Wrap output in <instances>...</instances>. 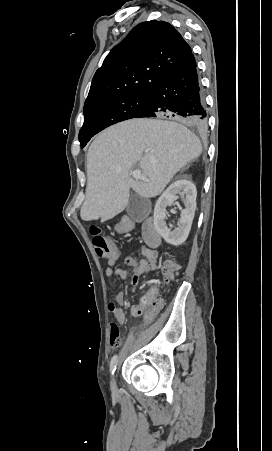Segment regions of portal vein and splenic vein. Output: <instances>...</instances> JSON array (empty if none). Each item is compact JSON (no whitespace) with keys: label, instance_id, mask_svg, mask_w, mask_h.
I'll return each mask as SVG.
<instances>
[{"label":"portal vein and splenic vein","instance_id":"18ae733b","mask_svg":"<svg viewBox=\"0 0 272 451\" xmlns=\"http://www.w3.org/2000/svg\"><path fill=\"white\" fill-rule=\"evenodd\" d=\"M131 176L132 178H135V180H143V182H148V178H145L144 174H141V170H134Z\"/></svg>","mask_w":272,"mask_h":451}]
</instances>
